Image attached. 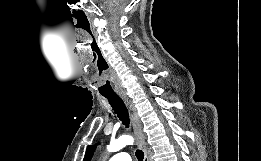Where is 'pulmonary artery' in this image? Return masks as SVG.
I'll list each match as a JSON object with an SVG mask.
<instances>
[{
    "label": "pulmonary artery",
    "instance_id": "1",
    "mask_svg": "<svg viewBox=\"0 0 261 161\" xmlns=\"http://www.w3.org/2000/svg\"><path fill=\"white\" fill-rule=\"evenodd\" d=\"M109 161H131V157L127 152H119L114 154Z\"/></svg>",
    "mask_w": 261,
    "mask_h": 161
}]
</instances>
